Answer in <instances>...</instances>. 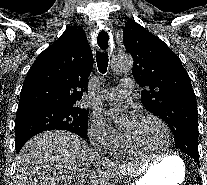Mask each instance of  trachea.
<instances>
[{"label":"trachea","instance_id":"3493384b","mask_svg":"<svg viewBox=\"0 0 207 185\" xmlns=\"http://www.w3.org/2000/svg\"><path fill=\"white\" fill-rule=\"evenodd\" d=\"M108 34L105 31H101L98 34V41L100 42V48L102 50L106 49V46L104 44V42L107 44L108 43ZM96 61H97V65H98V69L101 73H105L107 70V66H108V55L107 53H100V52H96Z\"/></svg>","mask_w":207,"mask_h":185}]
</instances>
